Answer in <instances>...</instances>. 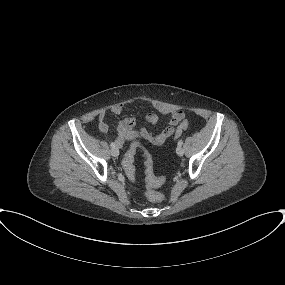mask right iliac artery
Masks as SVG:
<instances>
[{"mask_svg": "<svg viewBox=\"0 0 285 285\" xmlns=\"http://www.w3.org/2000/svg\"><path fill=\"white\" fill-rule=\"evenodd\" d=\"M110 146H111V148H115V143L114 142H112L111 144H110Z\"/></svg>", "mask_w": 285, "mask_h": 285, "instance_id": "82829eb1", "label": "right iliac artery"}]
</instances>
